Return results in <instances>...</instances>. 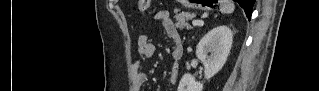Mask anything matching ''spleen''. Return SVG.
I'll return each instance as SVG.
<instances>
[{
	"mask_svg": "<svg viewBox=\"0 0 319 91\" xmlns=\"http://www.w3.org/2000/svg\"><path fill=\"white\" fill-rule=\"evenodd\" d=\"M234 9H235V6H234V3L232 1H228V0H221L220 1L221 13L230 14L234 11Z\"/></svg>",
	"mask_w": 319,
	"mask_h": 91,
	"instance_id": "spleen-1",
	"label": "spleen"
}]
</instances>
